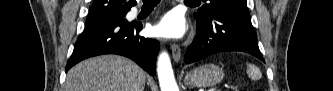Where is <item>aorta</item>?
Masks as SVG:
<instances>
[{
  "label": "aorta",
  "instance_id": "aorta-1",
  "mask_svg": "<svg viewBox=\"0 0 333 91\" xmlns=\"http://www.w3.org/2000/svg\"><path fill=\"white\" fill-rule=\"evenodd\" d=\"M157 73L161 91H178L169 55L162 52L158 59Z\"/></svg>",
  "mask_w": 333,
  "mask_h": 91
}]
</instances>
